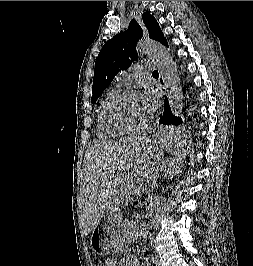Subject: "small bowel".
Listing matches in <instances>:
<instances>
[{
	"mask_svg": "<svg viewBox=\"0 0 253 266\" xmlns=\"http://www.w3.org/2000/svg\"><path fill=\"white\" fill-rule=\"evenodd\" d=\"M108 266H116L117 261L115 259H109L107 261ZM121 266H141L138 259L134 256H128L126 257L123 262L121 263Z\"/></svg>",
	"mask_w": 253,
	"mask_h": 266,
	"instance_id": "obj_1",
	"label": "small bowel"
}]
</instances>
